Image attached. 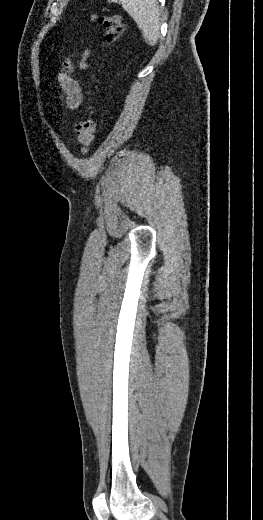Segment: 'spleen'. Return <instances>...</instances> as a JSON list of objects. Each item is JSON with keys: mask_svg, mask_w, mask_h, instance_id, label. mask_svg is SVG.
<instances>
[{"mask_svg": "<svg viewBox=\"0 0 263 520\" xmlns=\"http://www.w3.org/2000/svg\"><path fill=\"white\" fill-rule=\"evenodd\" d=\"M119 1L123 9L134 19L150 46H155L160 37V9L157 0H110Z\"/></svg>", "mask_w": 263, "mask_h": 520, "instance_id": "3e777b00", "label": "spleen"}]
</instances>
